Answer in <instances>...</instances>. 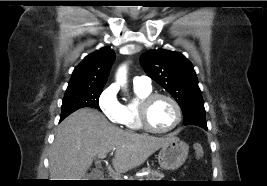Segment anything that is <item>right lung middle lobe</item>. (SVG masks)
<instances>
[{"label": "right lung middle lobe", "mask_w": 267, "mask_h": 186, "mask_svg": "<svg viewBox=\"0 0 267 186\" xmlns=\"http://www.w3.org/2000/svg\"><path fill=\"white\" fill-rule=\"evenodd\" d=\"M102 90V88H83L66 90L61 106L60 119H64L72 112L80 108L91 107L100 109L98 101Z\"/></svg>", "instance_id": "right-lung-middle-lobe-1"}]
</instances>
